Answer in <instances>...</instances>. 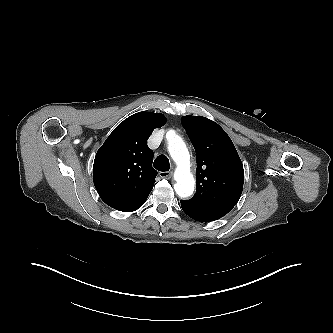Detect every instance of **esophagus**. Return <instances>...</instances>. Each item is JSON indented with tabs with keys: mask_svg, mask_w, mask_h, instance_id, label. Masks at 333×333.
<instances>
[{
	"mask_svg": "<svg viewBox=\"0 0 333 333\" xmlns=\"http://www.w3.org/2000/svg\"><path fill=\"white\" fill-rule=\"evenodd\" d=\"M159 176L161 178L170 179L173 176V172L172 171L160 172Z\"/></svg>",
	"mask_w": 333,
	"mask_h": 333,
	"instance_id": "1",
	"label": "esophagus"
}]
</instances>
